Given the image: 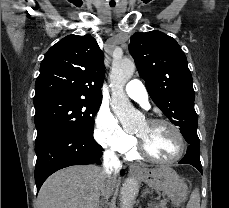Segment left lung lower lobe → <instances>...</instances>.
<instances>
[{
  "label": "left lung lower lobe",
  "mask_w": 229,
  "mask_h": 208,
  "mask_svg": "<svg viewBox=\"0 0 229 208\" xmlns=\"http://www.w3.org/2000/svg\"><path fill=\"white\" fill-rule=\"evenodd\" d=\"M184 139L189 144L186 155L179 161V164H190L197 168L202 173L200 162V143L197 135V130H190L182 133Z\"/></svg>",
  "instance_id": "left-lung-lower-lobe-1"
}]
</instances>
